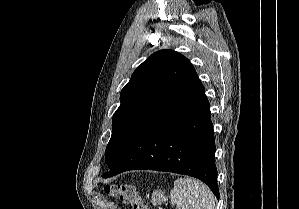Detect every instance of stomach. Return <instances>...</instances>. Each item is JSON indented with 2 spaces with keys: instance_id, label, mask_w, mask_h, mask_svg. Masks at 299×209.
Here are the masks:
<instances>
[{
  "instance_id": "stomach-1",
  "label": "stomach",
  "mask_w": 299,
  "mask_h": 209,
  "mask_svg": "<svg viewBox=\"0 0 299 209\" xmlns=\"http://www.w3.org/2000/svg\"><path fill=\"white\" fill-rule=\"evenodd\" d=\"M165 200V193L161 189H157L151 194V203L155 206L161 205Z\"/></svg>"
}]
</instances>
